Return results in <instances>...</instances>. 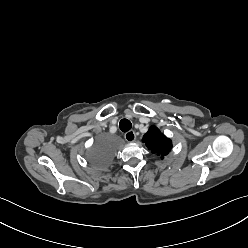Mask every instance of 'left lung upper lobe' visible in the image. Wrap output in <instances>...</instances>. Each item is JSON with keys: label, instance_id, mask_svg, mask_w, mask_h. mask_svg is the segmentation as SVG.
<instances>
[{"label": "left lung upper lobe", "instance_id": "left-lung-upper-lobe-1", "mask_svg": "<svg viewBox=\"0 0 248 248\" xmlns=\"http://www.w3.org/2000/svg\"><path fill=\"white\" fill-rule=\"evenodd\" d=\"M143 141L152 153L167 155L172 148V142L166 138L156 126H151L149 131L143 136Z\"/></svg>", "mask_w": 248, "mask_h": 248}]
</instances>
